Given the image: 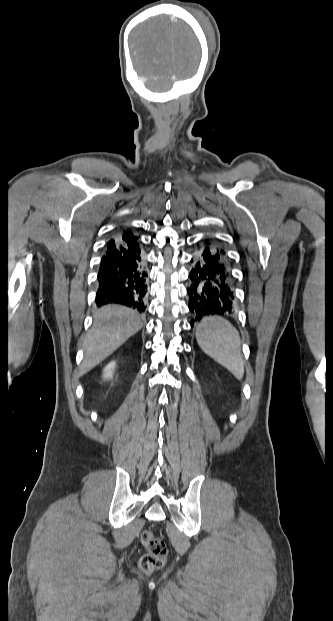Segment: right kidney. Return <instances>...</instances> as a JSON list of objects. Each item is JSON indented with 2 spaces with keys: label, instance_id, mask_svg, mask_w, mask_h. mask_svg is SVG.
Segmentation results:
<instances>
[{
  "label": "right kidney",
  "instance_id": "obj_1",
  "mask_svg": "<svg viewBox=\"0 0 333 621\" xmlns=\"http://www.w3.org/2000/svg\"><path fill=\"white\" fill-rule=\"evenodd\" d=\"M115 367H116V362L115 361L110 362L103 369V378L104 379H111L113 377V372H114Z\"/></svg>",
  "mask_w": 333,
  "mask_h": 621
}]
</instances>
